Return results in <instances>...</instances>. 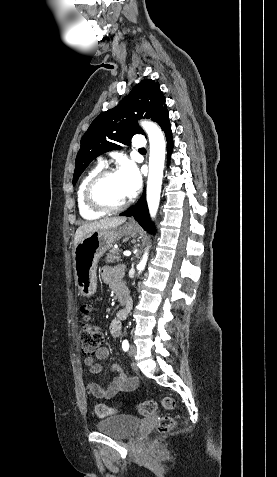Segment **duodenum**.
I'll use <instances>...</instances> for the list:
<instances>
[{
  "instance_id": "obj_1",
  "label": "duodenum",
  "mask_w": 277,
  "mask_h": 477,
  "mask_svg": "<svg viewBox=\"0 0 277 477\" xmlns=\"http://www.w3.org/2000/svg\"><path fill=\"white\" fill-rule=\"evenodd\" d=\"M118 296L120 304L124 307V312L127 313L132 306L131 298L126 292H120Z\"/></svg>"
}]
</instances>
